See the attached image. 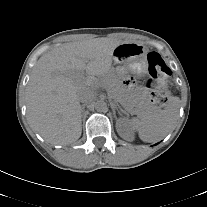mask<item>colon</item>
I'll return each instance as SVG.
<instances>
[{
  "label": "colon",
  "instance_id": "5ec220e1",
  "mask_svg": "<svg viewBox=\"0 0 207 207\" xmlns=\"http://www.w3.org/2000/svg\"><path fill=\"white\" fill-rule=\"evenodd\" d=\"M147 61L150 75L148 85L152 89L151 102L156 108H162L169 100L168 77L170 69L157 52H150Z\"/></svg>",
  "mask_w": 207,
  "mask_h": 207
}]
</instances>
